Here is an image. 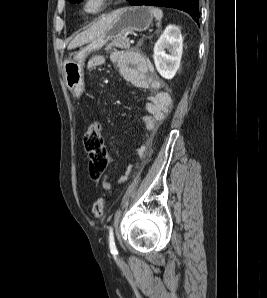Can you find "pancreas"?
Here are the masks:
<instances>
[{"label":"pancreas","mask_w":267,"mask_h":298,"mask_svg":"<svg viewBox=\"0 0 267 298\" xmlns=\"http://www.w3.org/2000/svg\"><path fill=\"white\" fill-rule=\"evenodd\" d=\"M115 47L120 49H128L130 47V39L124 36L115 38L107 47V51L115 50Z\"/></svg>","instance_id":"obj_1"}]
</instances>
